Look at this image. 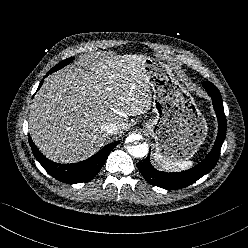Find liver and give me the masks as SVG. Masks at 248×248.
<instances>
[{
    "label": "liver",
    "mask_w": 248,
    "mask_h": 248,
    "mask_svg": "<svg viewBox=\"0 0 248 248\" xmlns=\"http://www.w3.org/2000/svg\"><path fill=\"white\" fill-rule=\"evenodd\" d=\"M144 59L100 58L46 78L29 116L30 135L39 150L54 162L84 160L109 139L103 125L115 124L122 133L129 116L147 113L152 90Z\"/></svg>",
    "instance_id": "obj_1"
}]
</instances>
